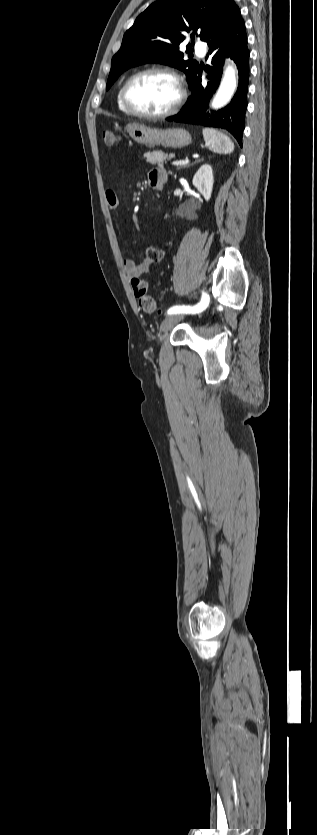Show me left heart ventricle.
<instances>
[{"mask_svg": "<svg viewBox=\"0 0 317 835\" xmlns=\"http://www.w3.org/2000/svg\"><path fill=\"white\" fill-rule=\"evenodd\" d=\"M178 97L173 79L162 74H149L137 79L130 87L132 104L146 113H160L170 108Z\"/></svg>", "mask_w": 317, "mask_h": 835, "instance_id": "1", "label": "left heart ventricle"}]
</instances>
